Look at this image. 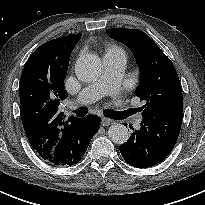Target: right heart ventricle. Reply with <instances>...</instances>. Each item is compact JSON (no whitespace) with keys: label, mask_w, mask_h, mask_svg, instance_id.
Listing matches in <instances>:
<instances>
[{"label":"right heart ventricle","mask_w":205,"mask_h":205,"mask_svg":"<svg viewBox=\"0 0 205 205\" xmlns=\"http://www.w3.org/2000/svg\"><path fill=\"white\" fill-rule=\"evenodd\" d=\"M124 54V51L122 50V48L114 45V44H107L106 48H105V54Z\"/></svg>","instance_id":"e07e8e85"}]
</instances>
